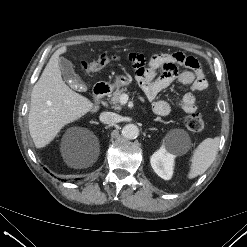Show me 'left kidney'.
<instances>
[{
  "mask_svg": "<svg viewBox=\"0 0 247 247\" xmlns=\"http://www.w3.org/2000/svg\"><path fill=\"white\" fill-rule=\"evenodd\" d=\"M174 158L173 150L163 145L152 155L150 163L159 177L169 180L173 175Z\"/></svg>",
  "mask_w": 247,
  "mask_h": 247,
  "instance_id": "obj_1",
  "label": "left kidney"
}]
</instances>
